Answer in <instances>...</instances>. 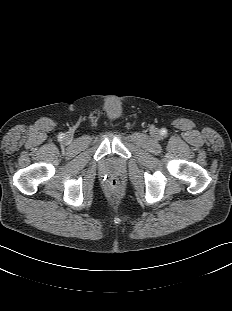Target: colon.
<instances>
[{"label":"colon","mask_w":232,"mask_h":311,"mask_svg":"<svg viewBox=\"0 0 232 311\" xmlns=\"http://www.w3.org/2000/svg\"><path fill=\"white\" fill-rule=\"evenodd\" d=\"M108 189L111 193L118 192V189H119L118 182L116 180H111L108 184Z\"/></svg>","instance_id":"obj_1"}]
</instances>
